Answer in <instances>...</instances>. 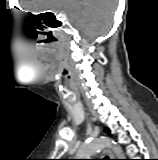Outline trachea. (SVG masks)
Listing matches in <instances>:
<instances>
[{
  "mask_svg": "<svg viewBox=\"0 0 158 160\" xmlns=\"http://www.w3.org/2000/svg\"><path fill=\"white\" fill-rule=\"evenodd\" d=\"M105 160H109V158H108V157H105Z\"/></svg>",
  "mask_w": 158,
  "mask_h": 160,
  "instance_id": "trachea-1",
  "label": "trachea"
}]
</instances>
